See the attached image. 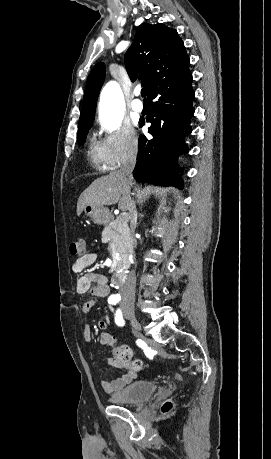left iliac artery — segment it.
<instances>
[{"mask_svg": "<svg viewBox=\"0 0 271 459\" xmlns=\"http://www.w3.org/2000/svg\"><path fill=\"white\" fill-rule=\"evenodd\" d=\"M122 311L121 310H118L116 312V316H115V322L117 325L119 326H123L124 325V320H123V317H122Z\"/></svg>", "mask_w": 271, "mask_h": 459, "instance_id": "44dca946", "label": "left iliac artery"}]
</instances>
